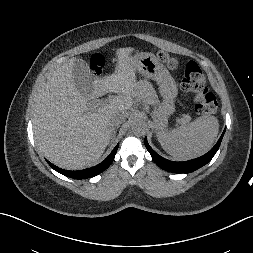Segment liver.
Listing matches in <instances>:
<instances>
[{
	"label": "liver",
	"instance_id": "obj_1",
	"mask_svg": "<svg viewBox=\"0 0 253 253\" xmlns=\"http://www.w3.org/2000/svg\"><path fill=\"white\" fill-rule=\"evenodd\" d=\"M132 51L118 49L115 71L94 77L93 91L86 97L73 80L76 59L52 73L37 97L32 119L37 146L49 161L68 170L84 169L99 161L112 137L111 115H128L133 104L148 95L146 86L136 78V64L129 55ZM112 92L118 95L108 104L96 105L97 98Z\"/></svg>",
	"mask_w": 253,
	"mask_h": 253
}]
</instances>
